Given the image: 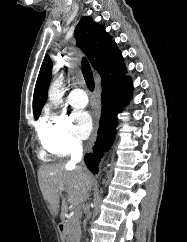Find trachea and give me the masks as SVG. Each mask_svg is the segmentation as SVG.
<instances>
[{
	"instance_id": "obj_1",
	"label": "trachea",
	"mask_w": 187,
	"mask_h": 242,
	"mask_svg": "<svg viewBox=\"0 0 187 242\" xmlns=\"http://www.w3.org/2000/svg\"><path fill=\"white\" fill-rule=\"evenodd\" d=\"M82 69H83V76L86 82L88 89L93 92L95 88L94 78L91 71L90 64L86 58L82 59Z\"/></svg>"
}]
</instances>
